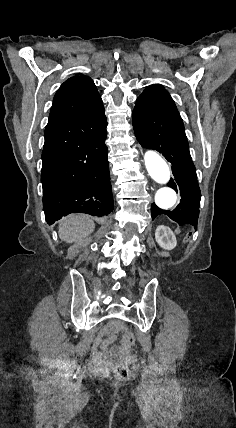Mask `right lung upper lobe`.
Segmentation results:
<instances>
[{"label":"right lung upper lobe","instance_id":"right-lung-upper-lobe-1","mask_svg":"<svg viewBox=\"0 0 236 428\" xmlns=\"http://www.w3.org/2000/svg\"><path fill=\"white\" fill-rule=\"evenodd\" d=\"M103 108L93 80L84 75H76L66 80L55 94L48 124L89 116Z\"/></svg>","mask_w":236,"mask_h":428}]
</instances>
